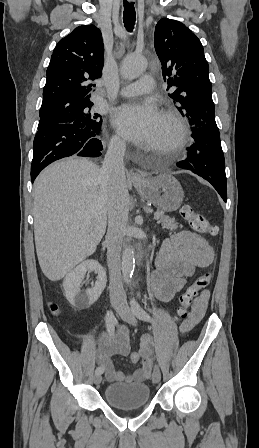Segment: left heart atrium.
I'll list each match as a JSON object with an SVG mask.
<instances>
[{"label":"left heart atrium","instance_id":"39dd6f15","mask_svg":"<svg viewBox=\"0 0 259 448\" xmlns=\"http://www.w3.org/2000/svg\"><path fill=\"white\" fill-rule=\"evenodd\" d=\"M161 120L157 106L149 101L124 104L114 110L112 123L126 139L140 142L158 126Z\"/></svg>","mask_w":259,"mask_h":448}]
</instances>
